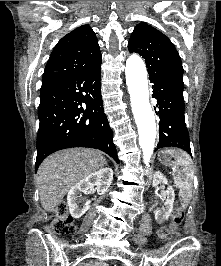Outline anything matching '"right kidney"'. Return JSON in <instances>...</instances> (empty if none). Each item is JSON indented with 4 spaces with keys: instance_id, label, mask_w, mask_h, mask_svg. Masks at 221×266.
I'll return each instance as SVG.
<instances>
[{
    "instance_id": "obj_1",
    "label": "right kidney",
    "mask_w": 221,
    "mask_h": 266,
    "mask_svg": "<svg viewBox=\"0 0 221 266\" xmlns=\"http://www.w3.org/2000/svg\"><path fill=\"white\" fill-rule=\"evenodd\" d=\"M113 180V171L110 168H102L89 174L87 177L80 180L70 188L67 195V203L72 217L78 219L85 214L90 208V202L86 201L84 204L82 193H88L90 189H94L98 193H105Z\"/></svg>"
}]
</instances>
